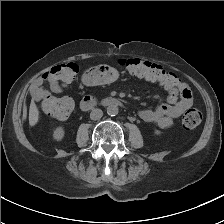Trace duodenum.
Listing matches in <instances>:
<instances>
[{"mask_svg":"<svg viewBox=\"0 0 224 224\" xmlns=\"http://www.w3.org/2000/svg\"><path fill=\"white\" fill-rule=\"evenodd\" d=\"M120 104L121 102L118 99L112 97H104L98 100L93 99L92 97H87L80 102V109L82 111H88L96 105L112 107V106H119Z\"/></svg>","mask_w":224,"mask_h":224,"instance_id":"duodenum-1","label":"duodenum"}]
</instances>
